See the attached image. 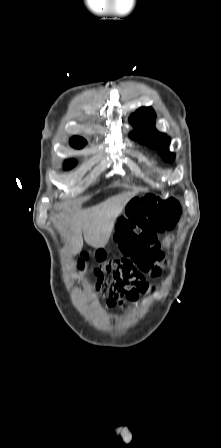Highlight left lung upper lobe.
<instances>
[{"label":"left lung upper lobe","mask_w":221,"mask_h":448,"mask_svg":"<svg viewBox=\"0 0 221 448\" xmlns=\"http://www.w3.org/2000/svg\"><path fill=\"white\" fill-rule=\"evenodd\" d=\"M156 115L152 108H140L129 118L134 126L131 137L142 144L157 148L165 161L172 162L174 154L168 151L170 139L162 133H159L155 127Z\"/></svg>","instance_id":"5c2ea615"}]
</instances>
